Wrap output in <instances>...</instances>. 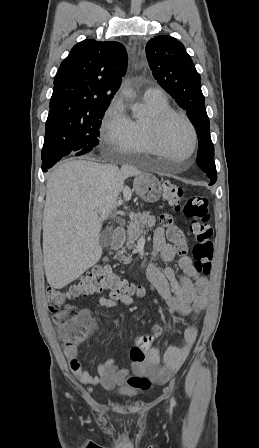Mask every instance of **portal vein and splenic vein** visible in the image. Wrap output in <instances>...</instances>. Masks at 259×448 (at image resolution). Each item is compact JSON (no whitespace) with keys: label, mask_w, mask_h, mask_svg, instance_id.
Segmentation results:
<instances>
[{"label":"portal vein and splenic vein","mask_w":259,"mask_h":448,"mask_svg":"<svg viewBox=\"0 0 259 448\" xmlns=\"http://www.w3.org/2000/svg\"><path fill=\"white\" fill-rule=\"evenodd\" d=\"M92 216H93V218H98L97 212H92Z\"/></svg>","instance_id":"obj_1"}]
</instances>
